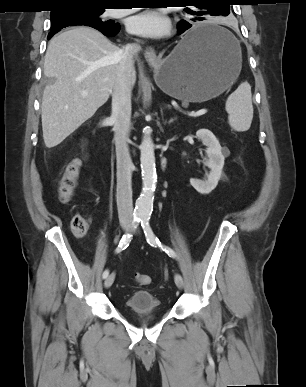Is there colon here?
Masks as SVG:
<instances>
[{
	"label": "colon",
	"mask_w": 306,
	"mask_h": 387,
	"mask_svg": "<svg viewBox=\"0 0 306 387\" xmlns=\"http://www.w3.org/2000/svg\"><path fill=\"white\" fill-rule=\"evenodd\" d=\"M80 170L81 161L79 159H73L65 166L58 185V196L62 203H68L73 198ZM70 227L76 237H84L89 231V221L84 216L75 215ZM134 281L139 286H146L151 283V277L145 274H135Z\"/></svg>",
	"instance_id": "obj_1"
}]
</instances>
